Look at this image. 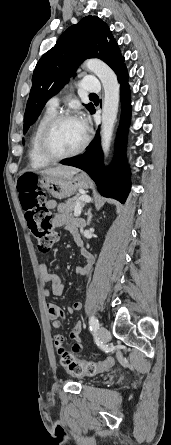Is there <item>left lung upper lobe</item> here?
I'll return each instance as SVG.
<instances>
[{
  "label": "left lung upper lobe",
  "instance_id": "1",
  "mask_svg": "<svg viewBox=\"0 0 171 445\" xmlns=\"http://www.w3.org/2000/svg\"><path fill=\"white\" fill-rule=\"evenodd\" d=\"M93 57L103 60L115 72L124 65V57L107 24L97 16H86L69 27L38 61L24 115V134L45 103L75 75L78 66ZM85 107L90 112L94 108L92 103Z\"/></svg>",
  "mask_w": 171,
  "mask_h": 445
}]
</instances>
